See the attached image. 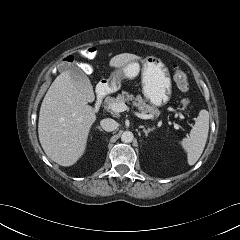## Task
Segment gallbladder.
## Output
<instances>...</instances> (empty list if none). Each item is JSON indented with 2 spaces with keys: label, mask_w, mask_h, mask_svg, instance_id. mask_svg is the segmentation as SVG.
<instances>
[{
  "label": "gallbladder",
  "mask_w": 240,
  "mask_h": 240,
  "mask_svg": "<svg viewBox=\"0 0 240 240\" xmlns=\"http://www.w3.org/2000/svg\"><path fill=\"white\" fill-rule=\"evenodd\" d=\"M62 71H70L73 84L81 91L89 101L94 100V92L89 78L81 70V68L75 64H65L60 67Z\"/></svg>",
  "instance_id": "bac80fb5"
}]
</instances>
